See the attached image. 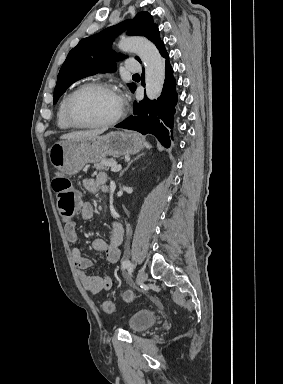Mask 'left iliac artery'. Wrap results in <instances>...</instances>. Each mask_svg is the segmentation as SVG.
Returning a JSON list of instances; mask_svg holds the SVG:
<instances>
[{
  "mask_svg": "<svg viewBox=\"0 0 283 384\" xmlns=\"http://www.w3.org/2000/svg\"><path fill=\"white\" fill-rule=\"evenodd\" d=\"M122 269H128L129 272H132L133 269H134V266L133 264L129 261V260H125L123 263H122Z\"/></svg>",
  "mask_w": 283,
  "mask_h": 384,
  "instance_id": "1",
  "label": "left iliac artery"
}]
</instances>
